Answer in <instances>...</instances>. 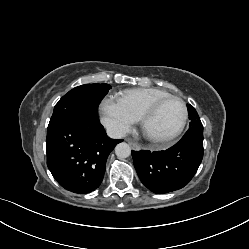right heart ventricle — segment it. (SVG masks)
I'll list each match as a JSON object with an SVG mask.
<instances>
[{"label":"right heart ventricle","instance_id":"1","mask_svg":"<svg viewBox=\"0 0 249 249\" xmlns=\"http://www.w3.org/2000/svg\"><path fill=\"white\" fill-rule=\"evenodd\" d=\"M169 95L171 94L160 89L139 88L120 93L118 99L139 119L150 105Z\"/></svg>","mask_w":249,"mask_h":249}]
</instances>
